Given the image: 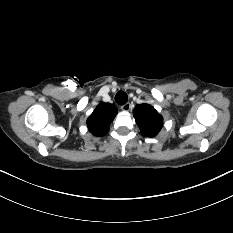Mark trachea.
<instances>
[{"label": "trachea", "mask_w": 233, "mask_h": 233, "mask_svg": "<svg viewBox=\"0 0 233 233\" xmlns=\"http://www.w3.org/2000/svg\"><path fill=\"white\" fill-rule=\"evenodd\" d=\"M115 101L119 105H124L128 101V96L124 91H119L115 96Z\"/></svg>", "instance_id": "obj_1"}]
</instances>
